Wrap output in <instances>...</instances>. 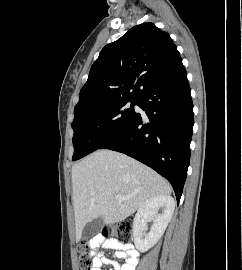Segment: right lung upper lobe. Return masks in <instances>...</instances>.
Wrapping results in <instances>:
<instances>
[{
  "mask_svg": "<svg viewBox=\"0 0 242 270\" xmlns=\"http://www.w3.org/2000/svg\"><path fill=\"white\" fill-rule=\"evenodd\" d=\"M181 65L168 33L150 22L137 25L102 49L80 91L74 114L112 101L138 99Z\"/></svg>",
  "mask_w": 242,
  "mask_h": 270,
  "instance_id": "cb5924a9",
  "label": "right lung upper lobe"
}]
</instances>
